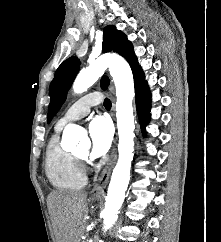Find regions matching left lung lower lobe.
<instances>
[{
    "instance_id": "0a47b994",
    "label": "left lung lower lobe",
    "mask_w": 221,
    "mask_h": 242,
    "mask_svg": "<svg viewBox=\"0 0 221 242\" xmlns=\"http://www.w3.org/2000/svg\"><path fill=\"white\" fill-rule=\"evenodd\" d=\"M135 94H136V108L141 122L142 130L150 120V92L148 84L145 81L144 72L138 69L133 72Z\"/></svg>"
}]
</instances>
